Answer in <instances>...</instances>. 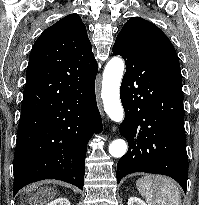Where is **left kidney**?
Here are the masks:
<instances>
[{
    "mask_svg": "<svg viewBox=\"0 0 199 205\" xmlns=\"http://www.w3.org/2000/svg\"><path fill=\"white\" fill-rule=\"evenodd\" d=\"M128 205H147V204L142 199L133 196L128 199Z\"/></svg>",
    "mask_w": 199,
    "mask_h": 205,
    "instance_id": "left-kidney-1",
    "label": "left kidney"
}]
</instances>
